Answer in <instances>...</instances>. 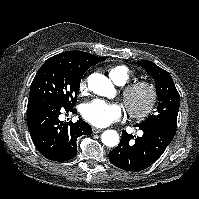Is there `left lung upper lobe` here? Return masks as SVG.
Masks as SVG:
<instances>
[{"mask_svg": "<svg viewBox=\"0 0 199 199\" xmlns=\"http://www.w3.org/2000/svg\"><path fill=\"white\" fill-rule=\"evenodd\" d=\"M142 66L155 80L156 92L159 100L157 112L150 115L140 126H162L176 132L177 116L179 111L180 96L172 77L164 69L151 61L135 62Z\"/></svg>", "mask_w": 199, "mask_h": 199, "instance_id": "5c2ea615", "label": "left lung upper lobe"}]
</instances>
